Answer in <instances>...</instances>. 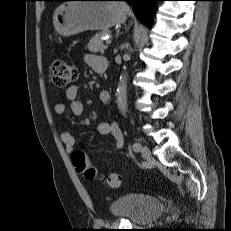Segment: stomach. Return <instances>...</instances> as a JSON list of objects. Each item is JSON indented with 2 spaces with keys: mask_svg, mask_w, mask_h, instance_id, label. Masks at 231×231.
<instances>
[{
  "mask_svg": "<svg viewBox=\"0 0 231 231\" xmlns=\"http://www.w3.org/2000/svg\"><path fill=\"white\" fill-rule=\"evenodd\" d=\"M126 21L123 3L106 0H78L57 7L53 15L55 30L68 37L84 31H107Z\"/></svg>",
  "mask_w": 231,
  "mask_h": 231,
  "instance_id": "1",
  "label": "stomach"
}]
</instances>
